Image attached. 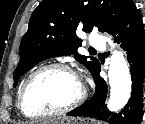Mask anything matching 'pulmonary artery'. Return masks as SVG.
<instances>
[{
	"mask_svg": "<svg viewBox=\"0 0 145 124\" xmlns=\"http://www.w3.org/2000/svg\"><path fill=\"white\" fill-rule=\"evenodd\" d=\"M90 45L94 48L104 49V40L103 36L97 33H91L89 38Z\"/></svg>",
	"mask_w": 145,
	"mask_h": 124,
	"instance_id": "1",
	"label": "pulmonary artery"
}]
</instances>
